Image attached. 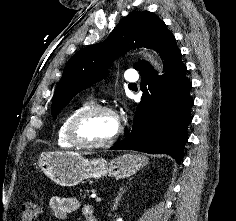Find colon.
<instances>
[{"label": "colon", "mask_w": 236, "mask_h": 221, "mask_svg": "<svg viewBox=\"0 0 236 221\" xmlns=\"http://www.w3.org/2000/svg\"><path fill=\"white\" fill-rule=\"evenodd\" d=\"M42 209L34 201H25L21 205L20 214L22 221H36L41 214Z\"/></svg>", "instance_id": "5ec220e1"}]
</instances>
